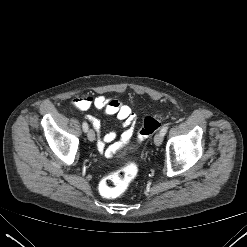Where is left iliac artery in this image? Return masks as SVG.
I'll list each match as a JSON object with an SVG mask.
<instances>
[{
    "mask_svg": "<svg viewBox=\"0 0 247 247\" xmlns=\"http://www.w3.org/2000/svg\"><path fill=\"white\" fill-rule=\"evenodd\" d=\"M168 128H169V126H168V124H166V125L161 129V133H162L163 136L166 134Z\"/></svg>",
    "mask_w": 247,
    "mask_h": 247,
    "instance_id": "left-iliac-artery-1",
    "label": "left iliac artery"
}]
</instances>
